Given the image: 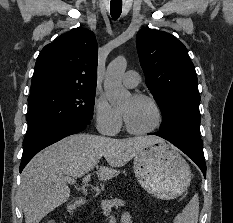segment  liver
Segmentation results:
<instances>
[{
	"label": "liver",
	"mask_w": 233,
	"mask_h": 223,
	"mask_svg": "<svg viewBox=\"0 0 233 223\" xmlns=\"http://www.w3.org/2000/svg\"><path fill=\"white\" fill-rule=\"evenodd\" d=\"M161 141L162 137L157 135L113 139L77 133L42 149L21 173L20 201L25 223H40L47 213L68 201L71 191L64 175L82 177L93 171L99 181L113 179L120 173L118 167H123L147 145ZM102 157L108 165L97 167Z\"/></svg>",
	"instance_id": "1"
}]
</instances>
